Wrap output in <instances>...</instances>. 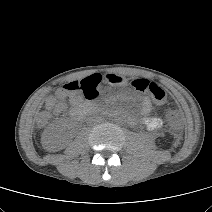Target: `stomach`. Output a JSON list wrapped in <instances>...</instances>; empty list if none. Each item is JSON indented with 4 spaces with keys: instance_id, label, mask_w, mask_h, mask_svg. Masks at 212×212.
<instances>
[{
    "instance_id": "1",
    "label": "stomach",
    "mask_w": 212,
    "mask_h": 212,
    "mask_svg": "<svg viewBox=\"0 0 212 212\" xmlns=\"http://www.w3.org/2000/svg\"><path fill=\"white\" fill-rule=\"evenodd\" d=\"M109 80L112 83H116V84H125L127 82L126 78L122 76H118V75H114L113 77L109 78Z\"/></svg>"
}]
</instances>
